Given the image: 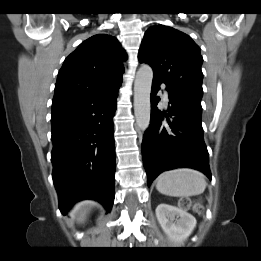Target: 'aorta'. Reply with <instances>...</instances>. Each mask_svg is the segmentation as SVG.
<instances>
[{
  "label": "aorta",
  "instance_id": "obj_1",
  "mask_svg": "<svg viewBox=\"0 0 261 261\" xmlns=\"http://www.w3.org/2000/svg\"><path fill=\"white\" fill-rule=\"evenodd\" d=\"M153 80V70L149 65H142L134 83V114L136 124L141 131H145L150 124V93Z\"/></svg>",
  "mask_w": 261,
  "mask_h": 261
}]
</instances>
